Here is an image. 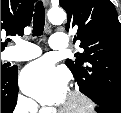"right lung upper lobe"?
I'll return each instance as SVG.
<instances>
[{"label": "right lung upper lobe", "mask_w": 121, "mask_h": 113, "mask_svg": "<svg viewBox=\"0 0 121 113\" xmlns=\"http://www.w3.org/2000/svg\"><path fill=\"white\" fill-rule=\"evenodd\" d=\"M35 0H1V33L23 35V30L31 22ZM6 42L1 39V52Z\"/></svg>", "instance_id": "cb5924a9"}]
</instances>
